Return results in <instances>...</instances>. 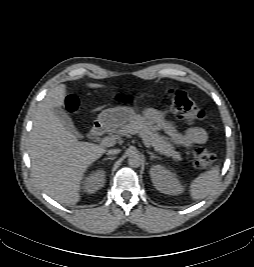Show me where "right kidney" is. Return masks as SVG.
Returning <instances> with one entry per match:
<instances>
[{"mask_svg": "<svg viewBox=\"0 0 254 267\" xmlns=\"http://www.w3.org/2000/svg\"><path fill=\"white\" fill-rule=\"evenodd\" d=\"M84 189L89 194L95 193L101 189L105 183V171L98 169L89 174L84 180Z\"/></svg>", "mask_w": 254, "mask_h": 267, "instance_id": "obj_1", "label": "right kidney"}]
</instances>
